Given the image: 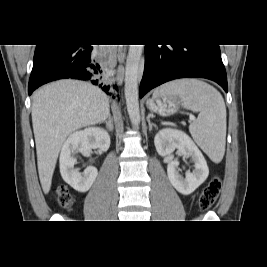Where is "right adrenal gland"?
<instances>
[{"label": "right adrenal gland", "instance_id": "obj_1", "mask_svg": "<svg viewBox=\"0 0 267 267\" xmlns=\"http://www.w3.org/2000/svg\"><path fill=\"white\" fill-rule=\"evenodd\" d=\"M103 123L105 124L106 129L108 131H113L114 126H113V118H112L111 114L108 115V120H105Z\"/></svg>", "mask_w": 267, "mask_h": 267}]
</instances>
